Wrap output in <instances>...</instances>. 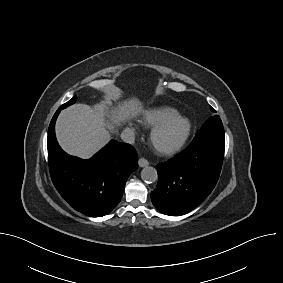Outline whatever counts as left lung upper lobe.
<instances>
[{
    "instance_id": "left-lung-upper-lobe-1",
    "label": "left lung upper lobe",
    "mask_w": 283,
    "mask_h": 283,
    "mask_svg": "<svg viewBox=\"0 0 283 283\" xmlns=\"http://www.w3.org/2000/svg\"><path fill=\"white\" fill-rule=\"evenodd\" d=\"M211 110L216 112L212 107ZM196 135H213L224 138V128L219 116L209 118L201 127Z\"/></svg>"
}]
</instances>
